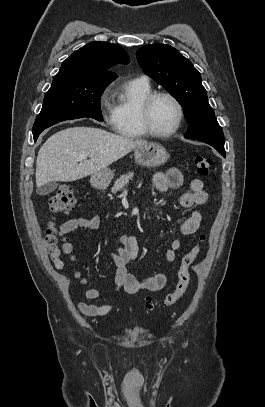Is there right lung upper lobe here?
Segmentation results:
<instances>
[{"instance_id":"1","label":"right lung upper lobe","mask_w":265,"mask_h":407,"mask_svg":"<svg viewBox=\"0 0 265 407\" xmlns=\"http://www.w3.org/2000/svg\"><path fill=\"white\" fill-rule=\"evenodd\" d=\"M129 62V56L121 46L108 42H91L63 61L56 76L65 75L77 81L111 83L117 75L108 73L107 70L116 64Z\"/></svg>"}]
</instances>
